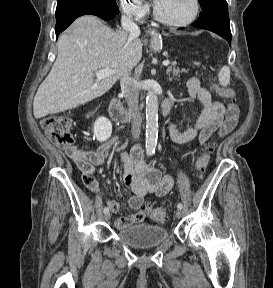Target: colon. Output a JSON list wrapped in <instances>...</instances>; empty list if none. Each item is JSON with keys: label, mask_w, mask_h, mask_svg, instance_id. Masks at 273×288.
<instances>
[{"label": "colon", "mask_w": 273, "mask_h": 288, "mask_svg": "<svg viewBox=\"0 0 273 288\" xmlns=\"http://www.w3.org/2000/svg\"><path fill=\"white\" fill-rule=\"evenodd\" d=\"M214 90L225 99L233 100L235 97V91L232 88L214 85ZM41 126L46 136L55 146L59 148H70L72 146L74 136L71 130L72 122L69 117L64 115H50L41 121ZM214 149L215 143H206L205 150L196 160L195 169L199 176H202L206 171ZM144 210L155 222L162 223L167 219V213L162 208L145 205Z\"/></svg>", "instance_id": "obj_1"}]
</instances>
